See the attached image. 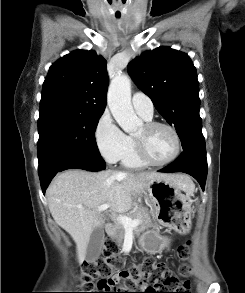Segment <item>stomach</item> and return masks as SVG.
<instances>
[{
    "label": "stomach",
    "instance_id": "stomach-1",
    "mask_svg": "<svg viewBox=\"0 0 245 293\" xmlns=\"http://www.w3.org/2000/svg\"><path fill=\"white\" fill-rule=\"evenodd\" d=\"M145 190L160 225L179 230L183 229L185 224H190V198L182 193L184 190L174 181L155 180L150 182ZM163 243V237L155 230H148L139 238L140 247L149 254L160 252Z\"/></svg>",
    "mask_w": 245,
    "mask_h": 293
}]
</instances>
